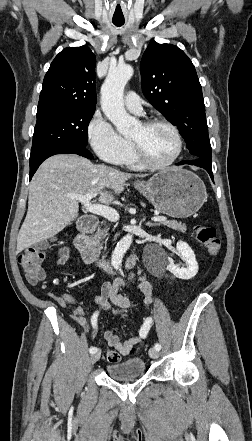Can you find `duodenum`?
<instances>
[{"label":"duodenum","instance_id":"duodenum-1","mask_svg":"<svg viewBox=\"0 0 252 441\" xmlns=\"http://www.w3.org/2000/svg\"><path fill=\"white\" fill-rule=\"evenodd\" d=\"M99 225V219L96 216H87L79 227V234L74 240V246L80 252L82 258L88 263H98L107 273L113 274L114 269L105 261L100 259V253L95 247L88 234ZM135 264V257L131 256L126 263L128 268Z\"/></svg>","mask_w":252,"mask_h":441}]
</instances>
